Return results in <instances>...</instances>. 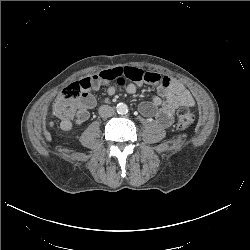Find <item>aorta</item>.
Segmentation results:
<instances>
[{
  "label": "aorta",
  "mask_w": 250,
  "mask_h": 250,
  "mask_svg": "<svg viewBox=\"0 0 250 250\" xmlns=\"http://www.w3.org/2000/svg\"><path fill=\"white\" fill-rule=\"evenodd\" d=\"M116 111L119 114H126L128 112V106L125 103H118L116 106Z\"/></svg>",
  "instance_id": "762f6f07"
}]
</instances>
